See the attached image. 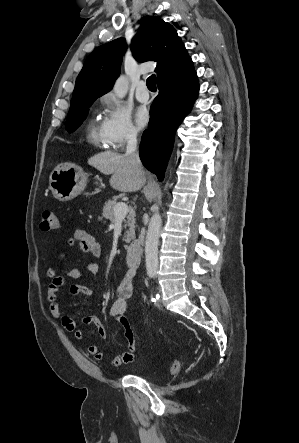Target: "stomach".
<instances>
[{
    "label": "stomach",
    "instance_id": "obj_1",
    "mask_svg": "<svg viewBox=\"0 0 299 443\" xmlns=\"http://www.w3.org/2000/svg\"><path fill=\"white\" fill-rule=\"evenodd\" d=\"M87 174L75 164L57 166L50 174L49 188L57 200L69 201L83 192L87 185Z\"/></svg>",
    "mask_w": 299,
    "mask_h": 443
}]
</instances>
